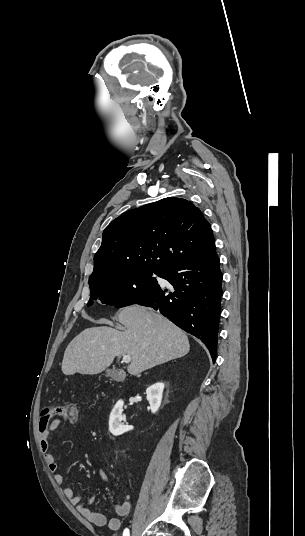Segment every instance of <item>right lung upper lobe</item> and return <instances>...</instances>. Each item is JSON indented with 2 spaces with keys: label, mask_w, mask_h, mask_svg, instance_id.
Listing matches in <instances>:
<instances>
[{
  "label": "right lung upper lobe",
  "mask_w": 305,
  "mask_h": 536,
  "mask_svg": "<svg viewBox=\"0 0 305 536\" xmlns=\"http://www.w3.org/2000/svg\"><path fill=\"white\" fill-rule=\"evenodd\" d=\"M214 246L199 208L182 198H164L123 213L105 228L89 282L138 270L164 271Z\"/></svg>",
  "instance_id": "cb5924a9"
}]
</instances>
